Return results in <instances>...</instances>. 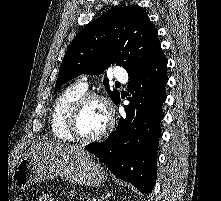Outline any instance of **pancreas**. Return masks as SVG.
<instances>
[{
	"label": "pancreas",
	"instance_id": "cf45deb5",
	"mask_svg": "<svg viewBox=\"0 0 221 201\" xmlns=\"http://www.w3.org/2000/svg\"><path fill=\"white\" fill-rule=\"evenodd\" d=\"M76 196H77L76 198H77L78 201H81V200H82L81 194L76 193Z\"/></svg>",
	"mask_w": 221,
	"mask_h": 201
}]
</instances>
